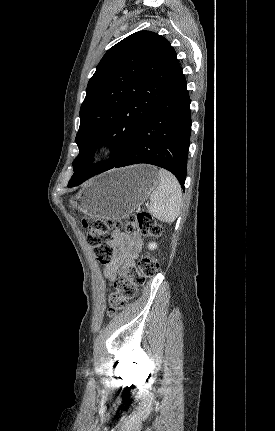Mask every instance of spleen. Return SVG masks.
<instances>
[{
	"instance_id": "spleen-1",
	"label": "spleen",
	"mask_w": 275,
	"mask_h": 431,
	"mask_svg": "<svg viewBox=\"0 0 275 431\" xmlns=\"http://www.w3.org/2000/svg\"><path fill=\"white\" fill-rule=\"evenodd\" d=\"M157 173L160 180L150 195L149 212L163 222L172 223L181 207V186L176 177L165 169H159Z\"/></svg>"
}]
</instances>
